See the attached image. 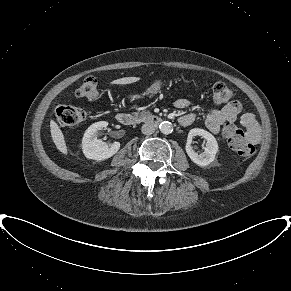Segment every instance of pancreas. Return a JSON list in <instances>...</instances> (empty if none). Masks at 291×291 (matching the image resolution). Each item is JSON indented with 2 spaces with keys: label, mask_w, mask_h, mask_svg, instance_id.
<instances>
[{
  "label": "pancreas",
  "mask_w": 291,
  "mask_h": 291,
  "mask_svg": "<svg viewBox=\"0 0 291 291\" xmlns=\"http://www.w3.org/2000/svg\"><path fill=\"white\" fill-rule=\"evenodd\" d=\"M134 117H135L136 122L140 123L151 118L152 114L149 111H141V112H135Z\"/></svg>",
  "instance_id": "pancreas-1"
}]
</instances>
